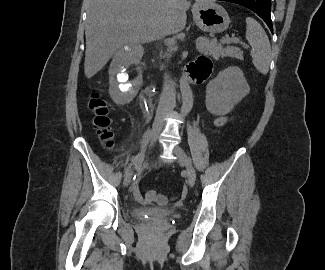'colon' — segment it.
I'll list each match as a JSON object with an SVG mask.
<instances>
[{
    "instance_id": "obj_1",
    "label": "colon",
    "mask_w": 325,
    "mask_h": 270,
    "mask_svg": "<svg viewBox=\"0 0 325 270\" xmlns=\"http://www.w3.org/2000/svg\"><path fill=\"white\" fill-rule=\"evenodd\" d=\"M89 108L94 114L93 124L98 131L105 146L110 147L113 144V133L110 129V119L108 117V108L105 101L98 93H93L90 97ZM145 200L149 203L165 204L168 198L154 190L147 191Z\"/></svg>"
}]
</instances>
